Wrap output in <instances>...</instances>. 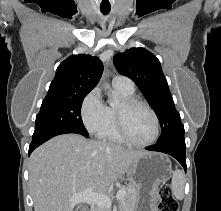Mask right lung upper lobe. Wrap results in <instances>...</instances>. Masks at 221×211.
<instances>
[{"label":"right lung upper lobe","mask_w":221,"mask_h":211,"mask_svg":"<svg viewBox=\"0 0 221 211\" xmlns=\"http://www.w3.org/2000/svg\"><path fill=\"white\" fill-rule=\"evenodd\" d=\"M103 64L97 57L71 55L57 68L48 95L88 94L99 82Z\"/></svg>","instance_id":"obj_1"}]
</instances>
